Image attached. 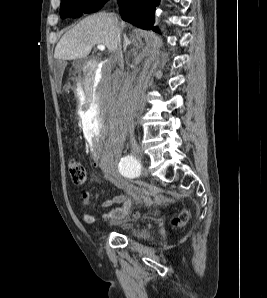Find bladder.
<instances>
[{"instance_id":"31cf9c89","label":"bladder","mask_w":267,"mask_h":298,"mask_svg":"<svg viewBox=\"0 0 267 298\" xmlns=\"http://www.w3.org/2000/svg\"><path fill=\"white\" fill-rule=\"evenodd\" d=\"M127 232L136 238L146 239L150 237V231L148 228H141V229H128Z\"/></svg>"}]
</instances>
